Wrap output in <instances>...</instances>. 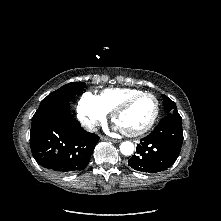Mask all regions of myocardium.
I'll return each mask as SVG.
<instances>
[{
    "instance_id": "1",
    "label": "myocardium",
    "mask_w": 221,
    "mask_h": 221,
    "mask_svg": "<svg viewBox=\"0 0 221 221\" xmlns=\"http://www.w3.org/2000/svg\"><path fill=\"white\" fill-rule=\"evenodd\" d=\"M144 96H151L155 100V111H154L153 117L151 118V120L148 122L147 125H145L143 128L137 131H123L127 136H130V137L141 136L147 133L155 125L160 114V101L158 97L151 92H141L125 99L118 106H116L115 109L112 111V114H111L112 121L115 124H117V117L119 116V114L125 111L127 108H129L136 100Z\"/></svg>"
}]
</instances>
